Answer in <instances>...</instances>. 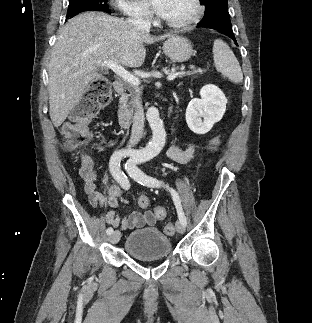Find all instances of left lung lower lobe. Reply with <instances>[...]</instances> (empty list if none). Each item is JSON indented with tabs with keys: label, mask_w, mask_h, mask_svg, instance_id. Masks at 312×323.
Here are the masks:
<instances>
[{
	"label": "left lung lower lobe",
	"mask_w": 312,
	"mask_h": 323,
	"mask_svg": "<svg viewBox=\"0 0 312 323\" xmlns=\"http://www.w3.org/2000/svg\"><path fill=\"white\" fill-rule=\"evenodd\" d=\"M207 28H209V27H207ZM210 29H213V30H216L222 34H225L236 42L234 33L232 31V25L227 24V23H220L218 26L210 28Z\"/></svg>",
	"instance_id": "obj_1"
}]
</instances>
